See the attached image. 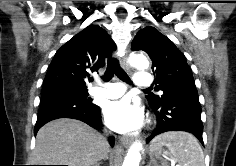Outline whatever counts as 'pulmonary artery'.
<instances>
[{"mask_svg": "<svg viewBox=\"0 0 236 166\" xmlns=\"http://www.w3.org/2000/svg\"><path fill=\"white\" fill-rule=\"evenodd\" d=\"M152 82L153 78L148 72L139 71L135 75L134 84L136 87H148ZM125 90L126 88L122 83H111L104 87H92L89 93L95 97L116 99L121 97L125 93Z\"/></svg>", "mask_w": 236, "mask_h": 166, "instance_id": "1", "label": "pulmonary artery"}]
</instances>
